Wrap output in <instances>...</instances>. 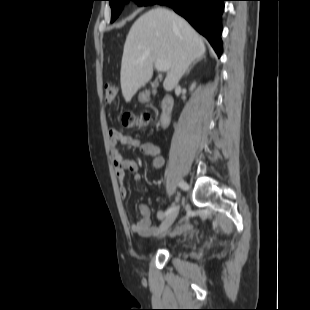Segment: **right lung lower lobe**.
Masks as SVG:
<instances>
[{
	"label": "right lung lower lobe",
	"mask_w": 310,
	"mask_h": 310,
	"mask_svg": "<svg viewBox=\"0 0 310 310\" xmlns=\"http://www.w3.org/2000/svg\"><path fill=\"white\" fill-rule=\"evenodd\" d=\"M226 0H155L153 4L168 5L183 16L207 38L217 55L222 53V14Z\"/></svg>",
	"instance_id": "98d812e1"
}]
</instances>
